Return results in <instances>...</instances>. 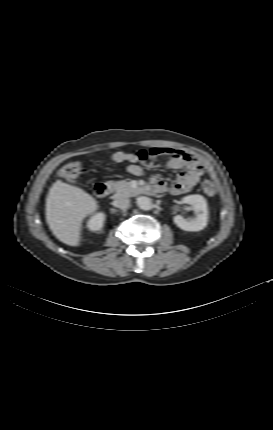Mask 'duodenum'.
<instances>
[{"instance_id":"410a0bca","label":"duodenum","mask_w":273,"mask_h":430,"mask_svg":"<svg viewBox=\"0 0 273 430\" xmlns=\"http://www.w3.org/2000/svg\"><path fill=\"white\" fill-rule=\"evenodd\" d=\"M94 192L97 197L104 198L110 193V186L104 182L96 183L94 186Z\"/></svg>"}]
</instances>
